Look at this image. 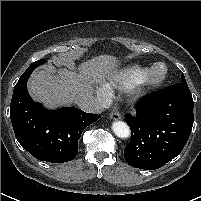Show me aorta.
<instances>
[{"mask_svg": "<svg viewBox=\"0 0 201 201\" xmlns=\"http://www.w3.org/2000/svg\"><path fill=\"white\" fill-rule=\"evenodd\" d=\"M114 134L119 138H128L130 136V128L123 121H115L112 124Z\"/></svg>", "mask_w": 201, "mask_h": 201, "instance_id": "1", "label": "aorta"}]
</instances>
